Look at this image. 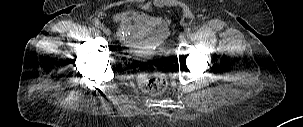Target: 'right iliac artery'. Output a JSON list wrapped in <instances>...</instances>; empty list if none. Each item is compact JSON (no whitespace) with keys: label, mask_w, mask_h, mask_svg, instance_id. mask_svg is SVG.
Instances as JSON below:
<instances>
[{"label":"right iliac artery","mask_w":303,"mask_h":127,"mask_svg":"<svg viewBox=\"0 0 303 127\" xmlns=\"http://www.w3.org/2000/svg\"><path fill=\"white\" fill-rule=\"evenodd\" d=\"M93 24L95 25V27L102 29L103 28V24H101V22L99 20H94Z\"/></svg>","instance_id":"82829eb1"}]
</instances>
